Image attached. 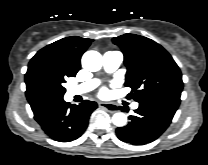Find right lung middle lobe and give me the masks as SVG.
Wrapping results in <instances>:
<instances>
[{
	"instance_id": "obj_1",
	"label": "right lung middle lobe",
	"mask_w": 208,
	"mask_h": 165,
	"mask_svg": "<svg viewBox=\"0 0 208 165\" xmlns=\"http://www.w3.org/2000/svg\"><path fill=\"white\" fill-rule=\"evenodd\" d=\"M75 75L52 55L37 53L30 60L25 74V93L29 104L44 105L62 99L66 92L62 86L65 78Z\"/></svg>"
}]
</instances>
